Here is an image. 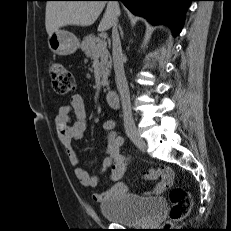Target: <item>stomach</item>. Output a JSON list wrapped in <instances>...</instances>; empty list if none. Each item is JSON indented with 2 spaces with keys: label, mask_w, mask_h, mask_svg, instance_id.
I'll return each mask as SVG.
<instances>
[{
  "label": "stomach",
  "mask_w": 231,
  "mask_h": 231,
  "mask_svg": "<svg viewBox=\"0 0 231 231\" xmlns=\"http://www.w3.org/2000/svg\"><path fill=\"white\" fill-rule=\"evenodd\" d=\"M48 46L53 53L65 56L75 53L79 40L73 33L57 29L49 35Z\"/></svg>",
  "instance_id": "1"
}]
</instances>
